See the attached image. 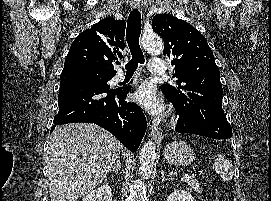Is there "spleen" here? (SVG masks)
Returning a JSON list of instances; mask_svg holds the SVG:
<instances>
[{"instance_id": "1", "label": "spleen", "mask_w": 271, "mask_h": 201, "mask_svg": "<svg viewBox=\"0 0 271 201\" xmlns=\"http://www.w3.org/2000/svg\"><path fill=\"white\" fill-rule=\"evenodd\" d=\"M213 170L220 175L224 182L232 179L233 169L231 163L226 160L222 155H217L214 160Z\"/></svg>"}]
</instances>
